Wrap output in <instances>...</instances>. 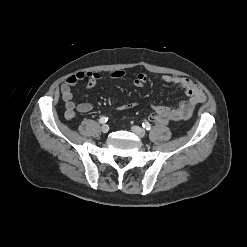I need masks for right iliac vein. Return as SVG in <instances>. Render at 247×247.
Segmentation results:
<instances>
[{"instance_id":"63e3f726","label":"right iliac vein","mask_w":247,"mask_h":247,"mask_svg":"<svg viewBox=\"0 0 247 247\" xmlns=\"http://www.w3.org/2000/svg\"><path fill=\"white\" fill-rule=\"evenodd\" d=\"M101 131H102L103 133H107V132L109 131V126L106 125V124L102 125V126H101Z\"/></svg>"}]
</instances>
